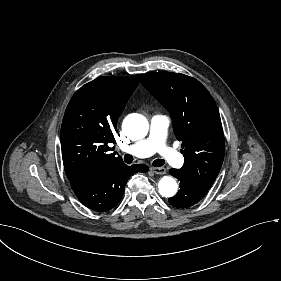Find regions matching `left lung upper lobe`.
Returning <instances> with one entry per match:
<instances>
[{"instance_id": "obj_1", "label": "left lung upper lobe", "mask_w": 281, "mask_h": 281, "mask_svg": "<svg viewBox=\"0 0 281 281\" xmlns=\"http://www.w3.org/2000/svg\"><path fill=\"white\" fill-rule=\"evenodd\" d=\"M142 85L171 114L174 133L182 141L180 169L210 188L224 159V135L218 108L196 79L172 72L140 75Z\"/></svg>"}]
</instances>
